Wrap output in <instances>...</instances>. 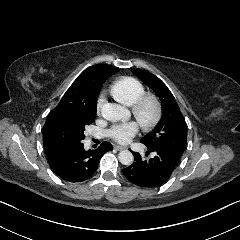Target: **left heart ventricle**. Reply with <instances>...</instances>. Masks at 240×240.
Masks as SVG:
<instances>
[{"label": "left heart ventricle", "instance_id": "1", "mask_svg": "<svg viewBox=\"0 0 240 240\" xmlns=\"http://www.w3.org/2000/svg\"><path fill=\"white\" fill-rule=\"evenodd\" d=\"M153 115V107L150 104H147L143 109V119L148 121Z\"/></svg>", "mask_w": 240, "mask_h": 240}]
</instances>
